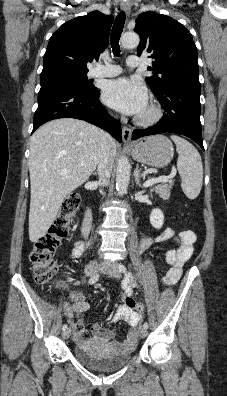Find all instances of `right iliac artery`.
<instances>
[{
    "label": "right iliac artery",
    "mask_w": 227,
    "mask_h": 396,
    "mask_svg": "<svg viewBox=\"0 0 227 396\" xmlns=\"http://www.w3.org/2000/svg\"><path fill=\"white\" fill-rule=\"evenodd\" d=\"M98 279H99V275H98V274H95V275H93V276L89 279L88 282H89V284H94L95 282L98 281ZM67 328H68V327H67L66 324H64V325L62 326V330H63V331H65Z\"/></svg>",
    "instance_id": "obj_1"
}]
</instances>
